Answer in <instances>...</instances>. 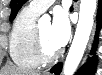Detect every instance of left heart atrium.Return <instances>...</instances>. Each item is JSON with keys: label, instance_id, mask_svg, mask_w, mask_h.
<instances>
[{"label": "left heart atrium", "instance_id": "obj_1", "mask_svg": "<svg viewBox=\"0 0 102 75\" xmlns=\"http://www.w3.org/2000/svg\"><path fill=\"white\" fill-rule=\"evenodd\" d=\"M70 38V22L63 9H56L51 24V39L58 47L64 46Z\"/></svg>", "mask_w": 102, "mask_h": 75}]
</instances>
